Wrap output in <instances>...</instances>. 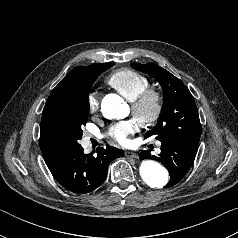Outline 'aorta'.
Listing matches in <instances>:
<instances>
[{
  "label": "aorta",
  "instance_id": "aorta-1",
  "mask_svg": "<svg viewBox=\"0 0 238 238\" xmlns=\"http://www.w3.org/2000/svg\"><path fill=\"white\" fill-rule=\"evenodd\" d=\"M101 109L104 117L108 119L124 118L129 113L128 106L115 95L105 97ZM139 172L142 180L151 188L161 189L168 183V171L156 161L144 160Z\"/></svg>",
  "mask_w": 238,
  "mask_h": 238
}]
</instances>
